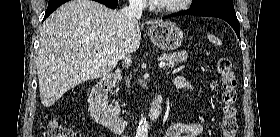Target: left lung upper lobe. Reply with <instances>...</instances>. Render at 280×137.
Segmentation results:
<instances>
[{
  "instance_id": "1",
  "label": "left lung upper lobe",
  "mask_w": 280,
  "mask_h": 137,
  "mask_svg": "<svg viewBox=\"0 0 280 137\" xmlns=\"http://www.w3.org/2000/svg\"><path fill=\"white\" fill-rule=\"evenodd\" d=\"M191 9H222L235 12L232 0H197Z\"/></svg>"
}]
</instances>
